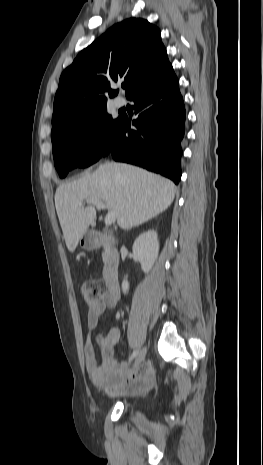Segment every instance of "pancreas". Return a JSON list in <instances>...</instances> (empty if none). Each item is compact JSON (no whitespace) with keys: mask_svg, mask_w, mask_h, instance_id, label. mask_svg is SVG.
Wrapping results in <instances>:
<instances>
[{"mask_svg":"<svg viewBox=\"0 0 263 465\" xmlns=\"http://www.w3.org/2000/svg\"><path fill=\"white\" fill-rule=\"evenodd\" d=\"M108 257H109V252L105 250L102 254L103 261L106 262L108 260Z\"/></svg>","mask_w":263,"mask_h":465,"instance_id":"cf45deb5","label":"pancreas"}]
</instances>
